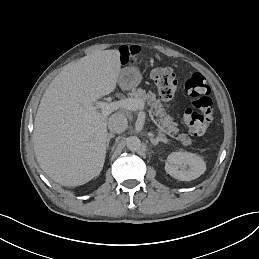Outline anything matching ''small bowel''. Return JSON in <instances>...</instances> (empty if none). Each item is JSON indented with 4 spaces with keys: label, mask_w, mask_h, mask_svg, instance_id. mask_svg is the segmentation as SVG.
Returning <instances> with one entry per match:
<instances>
[{
    "label": "small bowel",
    "mask_w": 259,
    "mask_h": 259,
    "mask_svg": "<svg viewBox=\"0 0 259 259\" xmlns=\"http://www.w3.org/2000/svg\"><path fill=\"white\" fill-rule=\"evenodd\" d=\"M139 52L138 47H125L120 50V59L122 62H127Z\"/></svg>",
    "instance_id": "obj_1"
}]
</instances>
